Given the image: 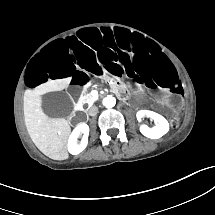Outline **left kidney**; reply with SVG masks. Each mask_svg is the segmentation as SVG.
Returning a JSON list of instances; mask_svg holds the SVG:
<instances>
[{
  "instance_id": "1",
  "label": "left kidney",
  "mask_w": 215,
  "mask_h": 215,
  "mask_svg": "<svg viewBox=\"0 0 215 215\" xmlns=\"http://www.w3.org/2000/svg\"><path fill=\"white\" fill-rule=\"evenodd\" d=\"M145 116L155 120V126L149 127L147 125H141L140 131L146 137L157 139L165 135L169 131V123L162 115L151 110H139L136 113L138 122L142 121Z\"/></svg>"
}]
</instances>
